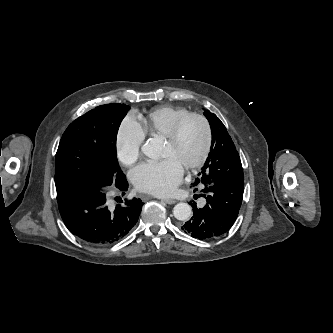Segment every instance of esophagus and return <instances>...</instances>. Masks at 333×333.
<instances>
[{
	"label": "esophagus",
	"mask_w": 333,
	"mask_h": 333,
	"mask_svg": "<svg viewBox=\"0 0 333 333\" xmlns=\"http://www.w3.org/2000/svg\"><path fill=\"white\" fill-rule=\"evenodd\" d=\"M162 201H164L167 204H175L176 203V200H174V199H162Z\"/></svg>",
	"instance_id": "34e87169"
}]
</instances>
